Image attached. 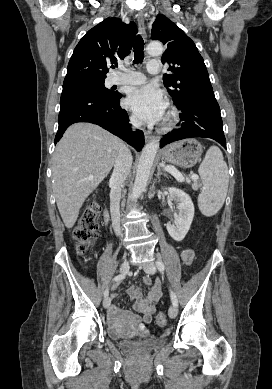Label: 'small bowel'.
Wrapping results in <instances>:
<instances>
[{"mask_svg": "<svg viewBox=\"0 0 272 389\" xmlns=\"http://www.w3.org/2000/svg\"><path fill=\"white\" fill-rule=\"evenodd\" d=\"M193 256L194 253L190 249H185L181 252L182 261L187 266L191 264ZM143 282L146 286L149 287L146 293H143L142 290L135 285H131L128 288V295L134 302L133 309L135 312L141 313L142 317L136 316L129 311L120 310L116 307L111 308L110 314L116 319L126 318L138 322L140 330L143 333H147L148 331L146 329V325L150 324L152 321V315L156 311V304L158 303L162 292L159 280H156L155 283H152V280L149 276H144ZM115 297L116 295L113 294L112 298Z\"/></svg>", "mask_w": 272, "mask_h": 389, "instance_id": "obj_1", "label": "small bowel"}]
</instances>
